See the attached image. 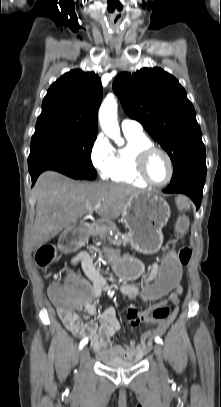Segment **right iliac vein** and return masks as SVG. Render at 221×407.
Masks as SVG:
<instances>
[{"label":"right iliac vein","instance_id":"obj_1","mask_svg":"<svg viewBox=\"0 0 221 407\" xmlns=\"http://www.w3.org/2000/svg\"><path fill=\"white\" fill-rule=\"evenodd\" d=\"M89 358V350L87 347H84L81 351V355H80V364L81 366H83L87 360Z\"/></svg>","mask_w":221,"mask_h":407}]
</instances>
